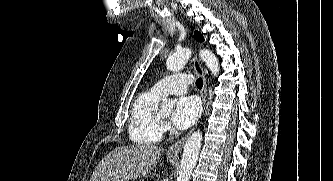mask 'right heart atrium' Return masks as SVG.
<instances>
[{"mask_svg":"<svg viewBox=\"0 0 333 181\" xmlns=\"http://www.w3.org/2000/svg\"><path fill=\"white\" fill-rule=\"evenodd\" d=\"M168 130V125L166 123H162V131L165 132Z\"/></svg>","mask_w":333,"mask_h":181,"instance_id":"right-heart-atrium-1","label":"right heart atrium"}]
</instances>
